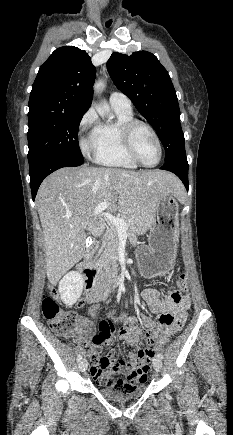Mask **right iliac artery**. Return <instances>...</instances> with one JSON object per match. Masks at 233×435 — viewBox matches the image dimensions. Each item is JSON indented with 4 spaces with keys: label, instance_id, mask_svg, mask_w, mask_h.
Returning a JSON list of instances; mask_svg holds the SVG:
<instances>
[{
    "label": "right iliac artery",
    "instance_id": "right-iliac-artery-1",
    "mask_svg": "<svg viewBox=\"0 0 233 435\" xmlns=\"http://www.w3.org/2000/svg\"><path fill=\"white\" fill-rule=\"evenodd\" d=\"M82 359V356L80 354L77 355V360L80 361Z\"/></svg>",
    "mask_w": 233,
    "mask_h": 435
}]
</instances>
